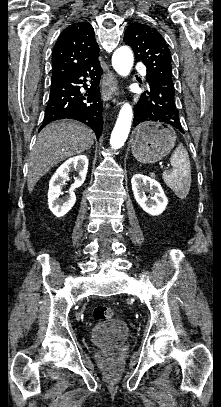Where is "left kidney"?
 Instances as JSON below:
<instances>
[{
    "mask_svg": "<svg viewBox=\"0 0 221 407\" xmlns=\"http://www.w3.org/2000/svg\"><path fill=\"white\" fill-rule=\"evenodd\" d=\"M131 184L135 200L145 212L156 216L165 210L168 200L159 182L143 174H136ZM145 191L150 192L151 196L147 197Z\"/></svg>",
    "mask_w": 221,
    "mask_h": 407,
    "instance_id": "obj_1",
    "label": "left kidney"
}]
</instances>
